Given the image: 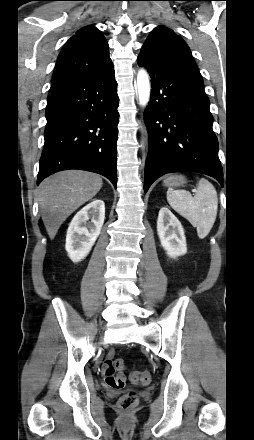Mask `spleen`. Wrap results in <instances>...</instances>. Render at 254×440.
<instances>
[{
	"instance_id": "obj_1",
	"label": "spleen",
	"mask_w": 254,
	"mask_h": 440,
	"mask_svg": "<svg viewBox=\"0 0 254 440\" xmlns=\"http://www.w3.org/2000/svg\"><path fill=\"white\" fill-rule=\"evenodd\" d=\"M167 201L177 213L196 227L199 238L208 235L218 209L217 192L212 183L205 178L199 179L194 197L187 191L169 188Z\"/></svg>"
}]
</instances>
